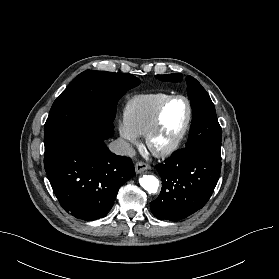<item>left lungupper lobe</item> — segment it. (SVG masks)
I'll use <instances>...</instances> for the list:
<instances>
[{
	"instance_id": "obj_1",
	"label": "left lung upper lobe",
	"mask_w": 279,
	"mask_h": 279,
	"mask_svg": "<svg viewBox=\"0 0 279 279\" xmlns=\"http://www.w3.org/2000/svg\"><path fill=\"white\" fill-rule=\"evenodd\" d=\"M161 81L178 82L182 74L156 75ZM187 92L191 99L192 122L185 147L202 150L221 158V127L218 123L214 104L201 84L187 76Z\"/></svg>"
}]
</instances>
